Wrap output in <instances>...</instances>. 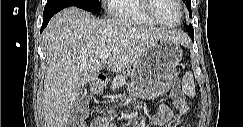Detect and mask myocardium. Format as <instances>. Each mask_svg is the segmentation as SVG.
Segmentation results:
<instances>
[{
	"instance_id": "myocardium-1",
	"label": "myocardium",
	"mask_w": 243,
	"mask_h": 127,
	"mask_svg": "<svg viewBox=\"0 0 243 127\" xmlns=\"http://www.w3.org/2000/svg\"><path fill=\"white\" fill-rule=\"evenodd\" d=\"M179 10H180V18L179 20L174 23V24H167L162 22L154 13V0H143V4H144V10L146 15L148 16V18L150 20H152L156 25L164 27V28H175L178 27L179 25H181L183 19H184V7L182 5V1L181 0H175Z\"/></svg>"
}]
</instances>
